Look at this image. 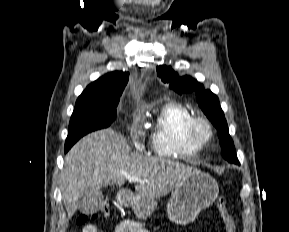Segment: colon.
I'll use <instances>...</instances> for the list:
<instances>
[{
    "label": "colon",
    "mask_w": 289,
    "mask_h": 232,
    "mask_svg": "<svg viewBox=\"0 0 289 232\" xmlns=\"http://www.w3.org/2000/svg\"><path fill=\"white\" fill-rule=\"evenodd\" d=\"M216 207L225 225L226 232H237L235 221L228 210L227 198L224 196H219L216 200ZM100 213L103 216L109 215V206L107 205V203L103 204V206L100 209ZM96 216L97 214L92 215V217H96ZM87 218H88L87 215L82 214L78 217L77 223L83 224L86 222Z\"/></svg>",
    "instance_id": "obj_1"
}]
</instances>
